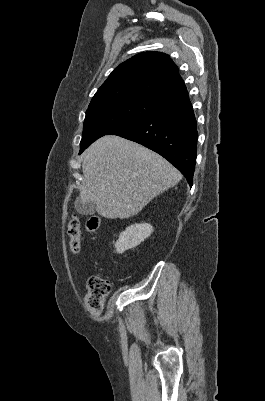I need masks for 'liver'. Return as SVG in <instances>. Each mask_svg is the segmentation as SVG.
Instances as JSON below:
<instances>
[{"label": "liver", "instance_id": "6515ba94", "mask_svg": "<svg viewBox=\"0 0 265 401\" xmlns=\"http://www.w3.org/2000/svg\"><path fill=\"white\" fill-rule=\"evenodd\" d=\"M82 203H96L106 219H129L154 196L178 184L181 172L163 156L121 136H102L82 162Z\"/></svg>", "mask_w": 265, "mask_h": 401}]
</instances>
